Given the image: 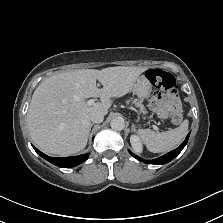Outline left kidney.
<instances>
[{"instance_id":"1","label":"left kidney","mask_w":223,"mask_h":223,"mask_svg":"<svg viewBox=\"0 0 223 223\" xmlns=\"http://www.w3.org/2000/svg\"><path fill=\"white\" fill-rule=\"evenodd\" d=\"M130 144H131L132 149L135 152H137L139 154H143V152H144V144H143L141 138L137 134H135V133L131 134V136H130Z\"/></svg>"}]
</instances>
